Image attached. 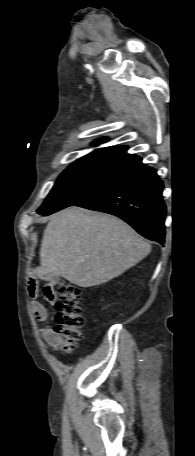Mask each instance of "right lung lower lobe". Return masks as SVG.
<instances>
[{
  "mask_svg": "<svg viewBox=\"0 0 195 456\" xmlns=\"http://www.w3.org/2000/svg\"><path fill=\"white\" fill-rule=\"evenodd\" d=\"M156 170L139 162L74 206L115 215L149 240L164 244L166 206ZM39 214L49 215L44 210Z\"/></svg>",
  "mask_w": 195,
  "mask_h": 456,
  "instance_id": "obj_1",
  "label": "right lung lower lobe"
}]
</instances>
